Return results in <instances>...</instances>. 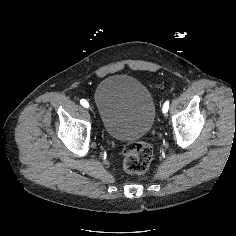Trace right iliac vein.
Returning a JSON list of instances; mask_svg holds the SVG:
<instances>
[{
    "label": "right iliac vein",
    "mask_w": 236,
    "mask_h": 236,
    "mask_svg": "<svg viewBox=\"0 0 236 236\" xmlns=\"http://www.w3.org/2000/svg\"><path fill=\"white\" fill-rule=\"evenodd\" d=\"M90 109H92V110L95 112V115H96L95 118H98L99 115H98V113H96V111H97L96 108L92 106V107H90ZM90 109H89V110H90ZM92 116H93V115H92ZM93 118H94V117H93Z\"/></svg>",
    "instance_id": "63e3f726"
}]
</instances>
